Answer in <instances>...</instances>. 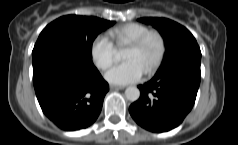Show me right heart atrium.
Masks as SVG:
<instances>
[{"mask_svg": "<svg viewBox=\"0 0 238 145\" xmlns=\"http://www.w3.org/2000/svg\"><path fill=\"white\" fill-rule=\"evenodd\" d=\"M90 56L94 64L101 70L107 69L115 58V49L105 35H97L90 45Z\"/></svg>", "mask_w": 238, "mask_h": 145, "instance_id": "1", "label": "right heart atrium"}]
</instances>
